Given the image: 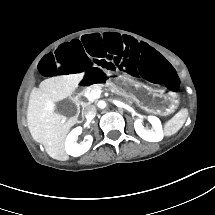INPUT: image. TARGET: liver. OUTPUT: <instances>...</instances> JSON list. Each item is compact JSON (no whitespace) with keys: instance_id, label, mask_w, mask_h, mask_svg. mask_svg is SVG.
<instances>
[{"instance_id":"1","label":"liver","mask_w":215,"mask_h":215,"mask_svg":"<svg viewBox=\"0 0 215 215\" xmlns=\"http://www.w3.org/2000/svg\"><path fill=\"white\" fill-rule=\"evenodd\" d=\"M84 73L60 75L43 80L39 88L31 91L27 123L32 138L43 144L46 153L59 159L64 152V142L76 118L68 119L54 113V102L70 96Z\"/></svg>"}]
</instances>
